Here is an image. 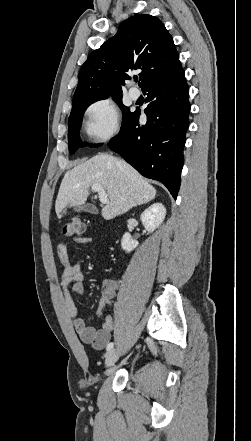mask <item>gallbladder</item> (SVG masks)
I'll use <instances>...</instances> for the list:
<instances>
[{"label":"gallbladder","instance_id":"obj_1","mask_svg":"<svg viewBox=\"0 0 251 441\" xmlns=\"http://www.w3.org/2000/svg\"><path fill=\"white\" fill-rule=\"evenodd\" d=\"M74 210L77 211V212L85 211V212H89V213H92V214H97L98 213L97 208L94 205H92V204H85L83 206H78V207H75Z\"/></svg>","mask_w":251,"mask_h":441}]
</instances>
